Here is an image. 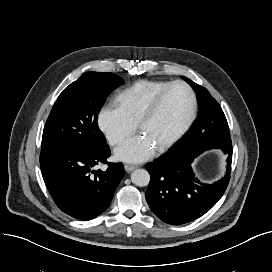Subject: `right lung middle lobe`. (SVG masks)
<instances>
[{
  "label": "right lung middle lobe",
  "mask_w": 272,
  "mask_h": 272,
  "mask_svg": "<svg viewBox=\"0 0 272 272\" xmlns=\"http://www.w3.org/2000/svg\"><path fill=\"white\" fill-rule=\"evenodd\" d=\"M123 79L113 73H84L59 95L46 121L42 149H88L107 144L98 128L97 114Z\"/></svg>",
  "instance_id": "right-lung-middle-lobe-1"
}]
</instances>
